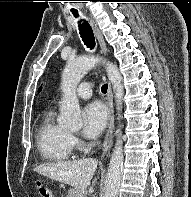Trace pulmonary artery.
I'll use <instances>...</instances> for the list:
<instances>
[{
  "mask_svg": "<svg viewBox=\"0 0 191 197\" xmlns=\"http://www.w3.org/2000/svg\"><path fill=\"white\" fill-rule=\"evenodd\" d=\"M92 87V83H81L76 90V95L81 99H89L92 96Z\"/></svg>",
  "mask_w": 191,
  "mask_h": 197,
  "instance_id": "pulmonary-artery-1",
  "label": "pulmonary artery"
}]
</instances>
